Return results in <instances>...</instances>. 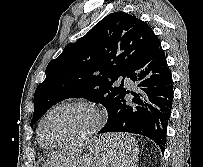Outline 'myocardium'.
<instances>
[{
	"label": "myocardium",
	"mask_w": 203,
	"mask_h": 167,
	"mask_svg": "<svg viewBox=\"0 0 203 167\" xmlns=\"http://www.w3.org/2000/svg\"><path fill=\"white\" fill-rule=\"evenodd\" d=\"M69 106H75V107H81L86 110H88L94 118L93 124L89 129L86 131L82 132L78 136L68 139L66 141L57 143V144H46L43 139V126L46 120L56 111L59 109H62L64 107H69ZM103 124V116L100 110L94 106L92 103L85 101V100H67L64 102H61L54 107H52L50 110H48L45 115L41 118L39 125H38V139L39 142L42 146H45L47 148H59V147H64L68 146L74 143H78L84 140L89 139L90 137L94 136L102 127Z\"/></svg>",
	"instance_id": "1"
}]
</instances>
